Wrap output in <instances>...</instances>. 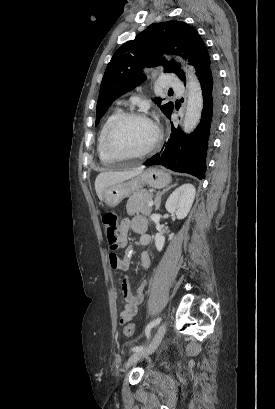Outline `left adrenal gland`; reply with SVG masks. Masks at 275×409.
Listing matches in <instances>:
<instances>
[{"mask_svg": "<svg viewBox=\"0 0 275 409\" xmlns=\"http://www.w3.org/2000/svg\"><path fill=\"white\" fill-rule=\"evenodd\" d=\"M173 186H175V184H173ZM169 188H172V186H168V188H164V190H162V192H160V194H158V196H156L155 200H154V205L156 207L155 211H158L160 205H161V196L162 194H164V192H166V190H169Z\"/></svg>", "mask_w": 275, "mask_h": 409, "instance_id": "1", "label": "left adrenal gland"}]
</instances>
